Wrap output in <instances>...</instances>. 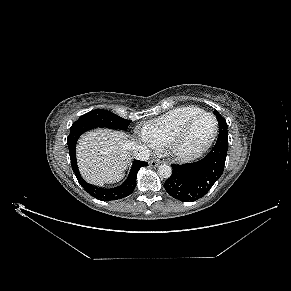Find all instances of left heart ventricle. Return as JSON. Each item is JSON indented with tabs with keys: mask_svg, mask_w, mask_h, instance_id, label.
Here are the masks:
<instances>
[{
	"mask_svg": "<svg viewBox=\"0 0 291 291\" xmlns=\"http://www.w3.org/2000/svg\"><path fill=\"white\" fill-rule=\"evenodd\" d=\"M215 123L213 118L205 116L196 121L185 137L181 148L183 151L191 152L202 147L212 136Z\"/></svg>",
	"mask_w": 291,
	"mask_h": 291,
	"instance_id": "obj_1",
	"label": "left heart ventricle"
}]
</instances>
